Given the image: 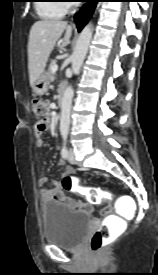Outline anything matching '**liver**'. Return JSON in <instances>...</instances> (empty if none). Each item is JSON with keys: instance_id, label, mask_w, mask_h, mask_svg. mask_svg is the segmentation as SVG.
Segmentation results:
<instances>
[{"instance_id": "1", "label": "liver", "mask_w": 158, "mask_h": 275, "mask_svg": "<svg viewBox=\"0 0 158 275\" xmlns=\"http://www.w3.org/2000/svg\"><path fill=\"white\" fill-rule=\"evenodd\" d=\"M66 30L62 46L68 44L72 27L65 21L40 20L36 21L30 30L28 41V69L30 85L44 72L48 58L54 49L56 41Z\"/></svg>"}]
</instances>
